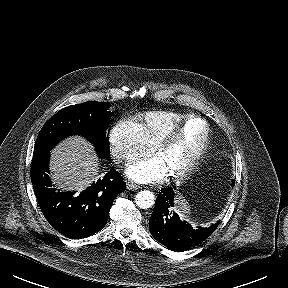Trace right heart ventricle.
<instances>
[{
  "instance_id": "e07e8e85",
  "label": "right heart ventricle",
  "mask_w": 288,
  "mask_h": 288,
  "mask_svg": "<svg viewBox=\"0 0 288 288\" xmlns=\"http://www.w3.org/2000/svg\"><path fill=\"white\" fill-rule=\"evenodd\" d=\"M190 115L189 113L158 110L149 111L138 117L139 126L146 141L154 147L158 139L175 123Z\"/></svg>"
}]
</instances>
